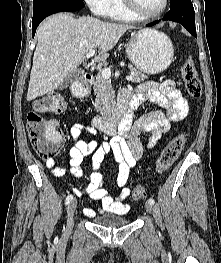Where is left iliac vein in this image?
Instances as JSON below:
<instances>
[{"mask_svg": "<svg viewBox=\"0 0 221 263\" xmlns=\"http://www.w3.org/2000/svg\"><path fill=\"white\" fill-rule=\"evenodd\" d=\"M145 209L148 213H152L153 211V206L150 203L145 204Z\"/></svg>", "mask_w": 221, "mask_h": 263, "instance_id": "left-iliac-vein-1", "label": "left iliac vein"}]
</instances>
